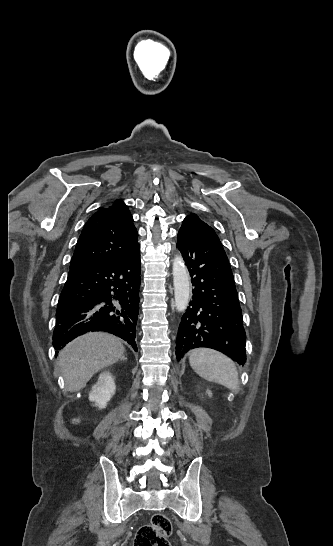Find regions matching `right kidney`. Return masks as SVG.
<instances>
[{"label":"right kidney","mask_w":333,"mask_h":546,"mask_svg":"<svg viewBox=\"0 0 333 546\" xmlns=\"http://www.w3.org/2000/svg\"><path fill=\"white\" fill-rule=\"evenodd\" d=\"M115 383L110 372H102L96 384L93 385L89 394L90 401L99 408H105L111 397L115 393Z\"/></svg>","instance_id":"obj_1"}]
</instances>
